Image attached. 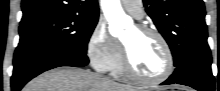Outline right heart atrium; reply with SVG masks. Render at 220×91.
I'll list each match as a JSON object with an SVG mask.
<instances>
[{
    "instance_id": "d8ad5b80",
    "label": "right heart atrium",
    "mask_w": 220,
    "mask_h": 91,
    "mask_svg": "<svg viewBox=\"0 0 220 91\" xmlns=\"http://www.w3.org/2000/svg\"><path fill=\"white\" fill-rule=\"evenodd\" d=\"M120 53L119 41L109 34L105 23L99 20L86 41V54L91 65L98 71H109Z\"/></svg>"
}]
</instances>
